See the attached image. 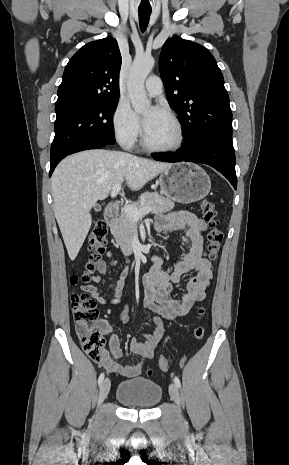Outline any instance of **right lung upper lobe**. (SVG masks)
Returning a JSON list of instances; mask_svg holds the SVG:
<instances>
[{
  "label": "right lung upper lobe",
  "instance_id": "1",
  "mask_svg": "<svg viewBox=\"0 0 289 465\" xmlns=\"http://www.w3.org/2000/svg\"><path fill=\"white\" fill-rule=\"evenodd\" d=\"M121 54L117 41L90 42L69 60L55 106L119 98Z\"/></svg>",
  "mask_w": 289,
  "mask_h": 465
}]
</instances>
